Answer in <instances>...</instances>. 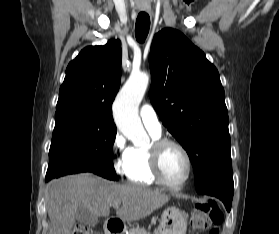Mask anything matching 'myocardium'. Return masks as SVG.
Returning <instances> with one entry per match:
<instances>
[{"label": "myocardium", "mask_w": 279, "mask_h": 234, "mask_svg": "<svg viewBox=\"0 0 279 234\" xmlns=\"http://www.w3.org/2000/svg\"><path fill=\"white\" fill-rule=\"evenodd\" d=\"M174 146L178 148L185 157L187 164V172L184 179L177 184L170 183L164 176L162 170V155L166 147ZM150 161L152 173L158 183L171 190H179L183 188L190 180L193 173V160L187 148L179 141L171 138L161 137L155 139L150 145Z\"/></svg>", "instance_id": "myocardium-1"}]
</instances>
